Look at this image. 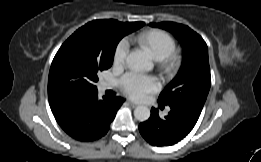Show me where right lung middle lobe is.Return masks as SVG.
<instances>
[{"mask_svg": "<svg viewBox=\"0 0 261 162\" xmlns=\"http://www.w3.org/2000/svg\"><path fill=\"white\" fill-rule=\"evenodd\" d=\"M143 25L110 19L95 20L79 28L53 59L48 78L49 100L77 101L97 93V73L111 67L118 42Z\"/></svg>", "mask_w": 261, "mask_h": 162, "instance_id": "obj_1", "label": "right lung middle lobe"}]
</instances>
